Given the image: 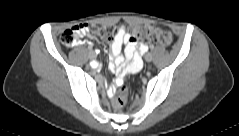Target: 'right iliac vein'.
<instances>
[{
	"label": "right iliac vein",
	"instance_id": "63e3f726",
	"mask_svg": "<svg viewBox=\"0 0 239 136\" xmlns=\"http://www.w3.org/2000/svg\"><path fill=\"white\" fill-rule=\"evenodd\" d=\"M89 57H90L91 59L96 58V53H95L94 51H92L91 53H89Z\"/></svg>",
	"mask_w": 239,
	"mask_h": 136
}]
</instances>
